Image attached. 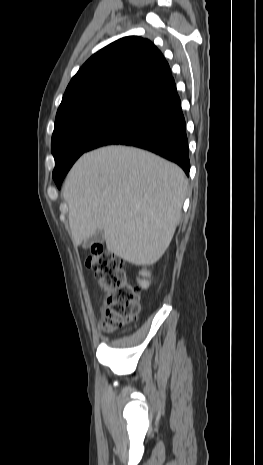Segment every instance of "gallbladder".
I'll return each mask as SVG.
<instances>
[{
    "label": "gallbladder",
    "instance_id": "bac80fb5",
    "mask_svg": "<svg viewBox=\"0 0 263 465\" xmlns=\"http://www.w3.org/2000/svg\"><path fill=\"white\" fill-rule=\"evenodd\" d=\"M104 241V232L103 230H97L94 234H92L89 238H87L83 243V248L88 249L95 243L103 242Z\"/></svg>",
    "mask_w": 263,
    "mask_h": 465
}]
</instances>
